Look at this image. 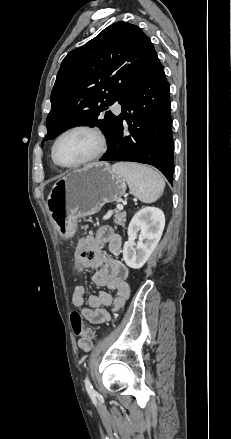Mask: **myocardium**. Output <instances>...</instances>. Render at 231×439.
I'll use <instances>...</instances> for the list:
<instances>
[{
  "label": "myocardium",
  "instance_id": "f54148a6",
  "mask_svg": "<svg viewBox=\"0 0 231 439\" xmlns=\"http://www.w3.org/2000/svg\"><path fill=\"white\" fill-rule=\"evenodd\" d=\"M76 131H85L88 133L93 134L97 141H98V148L97 150L88 158L79 161L77 163L74 164H63L62 162L59 161L58 157H57V146L59 141L67 134L72 133V132H76ZM108 148V139L106 134L98 127L93 126V125H87V124H80V125H75L72 126L70 128H67L66 130H64L63 132H61L57 138L55 139L52 149H51V155H52V159L54 161V163L61 167V168H66V169H72V168H77L83 165H86L88 163H91L97 159H99L100 157H102L105 152L107 151Z\"/></svg>",
  "mask_w": 231,
  "mask_h": 439
}]
</instances>
